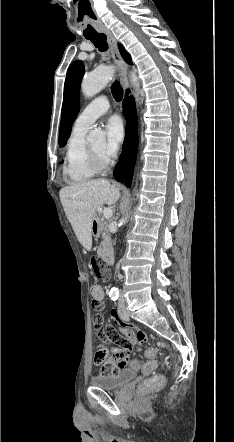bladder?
Listing matches in <instances>:
<instances>
[{
  "label": "bladder",
  "mask_w": 234,
  "mask_h": 442,
  "mask_svg": "<svg viewBox=\"0 0 234 442\" xmlns=\"http://www.w3.org/2000/svg\"><path fill=\"white\" fill-rule=\"evenodd\" d=\"M136 377V371L123 368L109 374H98L91 378V384L103 390H116L131 382Z\"/></svg>",
  "instance_id": "bladder-1"
}]
</instances>
